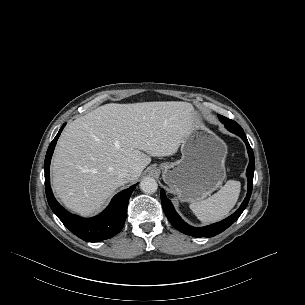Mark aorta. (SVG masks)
Returning <instances> with one entry per match:
<instances>
[{"mask_svg":"<svg viewBox=\"0 0 305 305\" xmlns=\"http://www.w3.org/2000/svg\"><path fill=\"white\" fill-rule=\"evenodd\" d=\"M157 188L158 184L156 180L152 177H145L140 182V189L147 194L155 193L157 191Z\"/></svg>","mask_w":305,"mask_h":305,"instance_id":"obj_1","label":"aorta"}]
</instances>
